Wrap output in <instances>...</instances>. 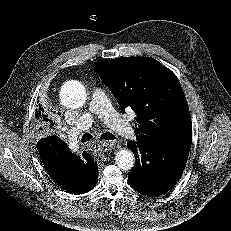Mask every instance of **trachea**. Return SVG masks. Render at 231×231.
Returning a JSON list of instances; mask_svg holds the SVG:
<instances>
[{
    "label": "trachea",
    "instance_id": "1",
    "mask_svg": "<svg viewBox=\"0 0 231 231\" xmlns=\"http://www.w3.org/2000/svg\"><path fill=\"white\" fill-rule=\"evenodd\" d=\"M93 137L91 134L89 133H85L82 138H81V142L84 143V142H87L89 140H91ZM101 139L103 140H114L115 139V136L110 133V132H105L101 135Z\"/></svg>",
    "mask_w": 231,
    "mask_h": 231
}]
</instances>
